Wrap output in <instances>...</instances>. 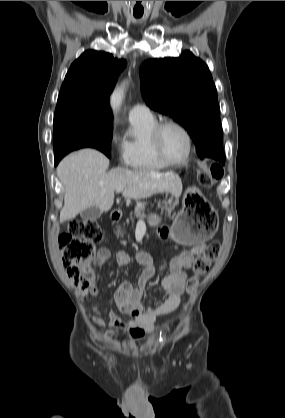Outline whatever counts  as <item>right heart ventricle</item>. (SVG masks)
<instances>
[{"instance_id": "right-heart-ventricle-1", "label": "right heart ventricle", "mask_w": 285, "mask_h": 418, "mask_svg": "<svg viewBox=\"0 0 285 418\" xmlns=\"http://www.w3.org/2000/svg\"><path fill=\"white\" fill-rule=\"evenodd\" d=\"M131 128L123 140L126 164L143 170H158L167 167L155 154L150 135L157 121L150 119L130 121Z\"/></svg>"}]
</instances>
